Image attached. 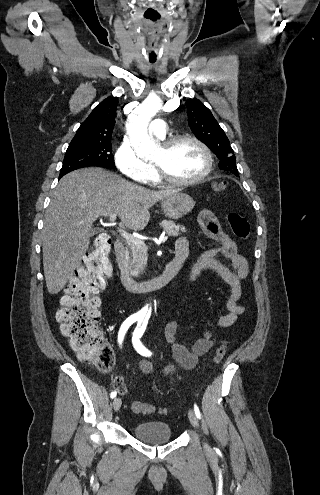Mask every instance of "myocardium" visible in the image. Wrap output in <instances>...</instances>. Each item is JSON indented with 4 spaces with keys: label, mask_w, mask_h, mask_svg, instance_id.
<instances>
[{
    "label": "myocardium",
    "mask_w": 320,
    "mask_h": 495,
    "mask_svg": "<svg viewBox=\"0 0 320 495\" xmlns=\"http://www.w3.org/2000/svg\"><path fill=\"white\" fill-rule=\"evenodd\" d=\"M182 142H192L195 145H197L202 151L206 160V166L201 174L190 179H176L170 176L161 166L155 163L153 164L154 168L157 171L160 179L168 184L175 186H192L199 184L203 182L212 172L213 163H214L212 153L210 149L200 139L192 135H180V136L172 137L166 142H164L162 147L166 151H169Z\"/></svg>",
    "instance_id": "f54148a6"
}]
</instances>
